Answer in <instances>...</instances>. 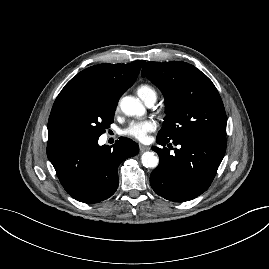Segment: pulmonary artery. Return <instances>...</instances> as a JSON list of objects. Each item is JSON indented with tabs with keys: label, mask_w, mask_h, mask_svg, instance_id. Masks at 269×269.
I'll use <instances>...</instances> for the list:
<instances>
[{
	"label": "pulmonary artery",
	"mask_w": 269,
	"mask_h": 269,
	"mask_svg": "<svg viewBox=\"0 0 269 269\" xmlns=\"http://www.w3.org/2000/svg\"><path fill=\"white\" fill-rule=\"evenodd\" d=\"M155 102H156V98L155 97H151L145 103L147 104V106L151 107V106H153L155 104Z\"/></svg>",
	"instance_id": "obj_1"
}]
</instances>
